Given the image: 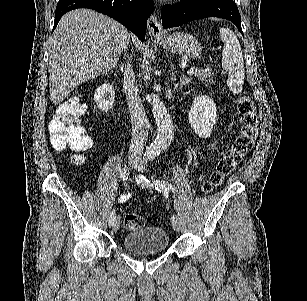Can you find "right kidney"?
I'll use <instances>...</instances> for the list:
<instances>
[{
  "instance_id": "right-kidney-1",
  "label": "right kidney",
  "mask_w": 307,
  "mask_h": 301,
  "mask_svg": "<svg viewBox=\"0 0 307 301\" xmlns=\"http://www.w3.org/2000/svg\"><path fill=\"white\" fill-rule=\"evenodd\" d=\"M114 98L115 90L110 82H105V84H101V86L95 88L94 100L98 108H101L103 112H107V110L112 108Z\"/></svg>"
}]
</instances>
